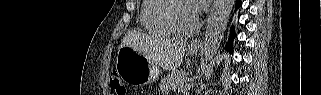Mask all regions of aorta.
Here are the masks:
<instances>
[{
  "label": "aorta",
  "mask_w": 321,
  "mask_h": 95,
  "mask_svg": "<svg viewBox=\"0 0 321 95\" xmlns=\"http://www.w3.org/2000/svg\"><path fill=\"white\" fill-rule=\"evenodd\" d=\"M235 0H214L204 39L205 65L217 52L223 39Z\"/></svg>",
  "instance_id": "aorta-1"
}]
</instances>
